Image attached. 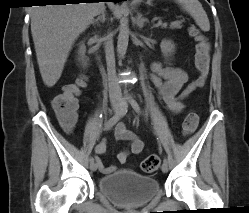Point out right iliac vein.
I'll use <instances>...</instances> for the list:
<instances>
[{
  "label": "right iliac vein",
  "mask_w": 249,
  "mask_h": 213,
  "mask_svg": "<svg viewBox=\"0 0 249 213\" xmlns=\"http://www.w3.org/2000/svg\"><path fill=\"white\" fill-rule=\"evenodd\" d=\"M112 108H113L114 112H116V113H117L118 110H119L117 104H114V105L112 106ZM90 170H91V171H96V170H97V164L94 163V162H91V163H90Z\"/></svg>",
  "instance_id": "right-iliac-vein-1"
}]
</instances>
